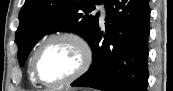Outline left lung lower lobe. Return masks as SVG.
I'll list each match as a JSON object with an SVG mask.
<instances>
[{
	"mask_svg": "<svg viewBox=\"0 0 173 91\" xmlns=\"http://www.w3.org/2000/svg\"><path fill=\"white\" fill-rule=\"evenodd\" d=\"M105 8L106 33L98 27L89 41L92 66L71 85L103 91H146L149 1L106 0Z\"/></svg>",
	"mask_w": 173,
	"mask_h": 91,
	"instance_id": "0a47b994",
	"label": "left lung lower lobe"
}]
</instances>
